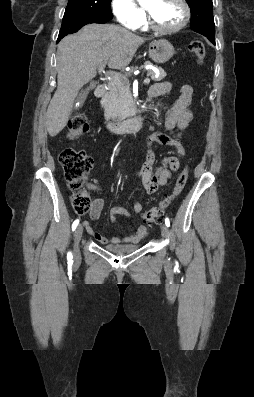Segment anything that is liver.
<instances>
[{"label":"liver","mask_w":254,"mask_h":397,"mask_svg":"<svg viewBox=\"0 0 254 397\" xmlns=\"http://www.w3.org/2000/svg\"><path fill=\"white\" fill-rule=\"evenodd\" d=\"M146 39L115 25L89 24L63 38L58 45L57 89L46 113L51 137L66 126L79 90L93 79L102 62L123 68L133 59Z\"/></svg>","instance_id":"liver-1"}]
</instances>
